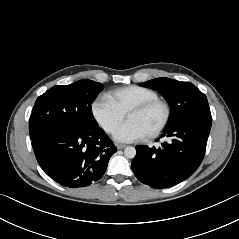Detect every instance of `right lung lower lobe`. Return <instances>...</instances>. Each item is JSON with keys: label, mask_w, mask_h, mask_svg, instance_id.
<instances>
[{"label": "right lung lower lobe", "mask_w": 239, "mask_h": 239, "mask_svg": "<svg viewBox=\"0 0 239 239\" xmlns=\"http://www.w3.org/2000/svg\"><path fill=\"white\" fill-rule=\"evenodd\" d=\"M31 140L44 172L70 188L85 187L99 180L117 151L98 126L84 130L46 129Z\"/></svg>", "instance_id": "98d812e1"}]
</instances>
